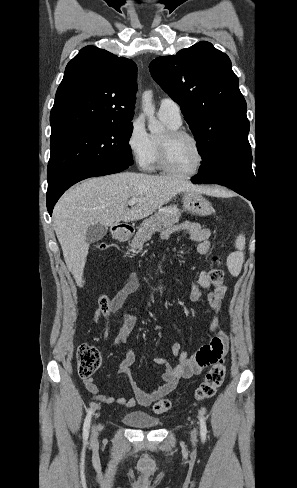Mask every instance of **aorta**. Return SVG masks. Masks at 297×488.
Returning a JSON list of instances; mask_svg holds the SVG:
<instances>
[{"mask_svg":"<svg viewBox=\"0 0 297 488\" xmlns=\"http://www.w3.org/2000/svg\"><path fill=\"white\" fill-rule=\"evenodd\" d=\"M152 91L148 90L142 94V109L148 117V129L151 133L158 134L163 131V125L155 117V105L153 103Z\"/></svg>","mask_w":297,"mask_h":488,"instance_id":"762f6f07","label":"aorta"}]
</instances>
